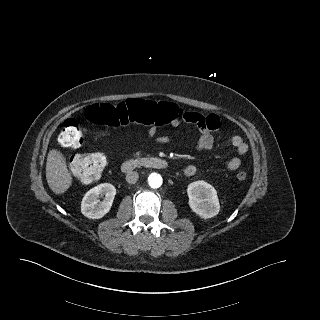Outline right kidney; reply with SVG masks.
Returning a JSON list of instances; mask_svg holds the SVG:
<instances>
[{"label": "right kidney", "instance_id": "right-kidney-1", "mask_svg": "<svg viewBox=\"0 0 320 320\" xmlns=\"http://www.w3.org/2000/svg\"><path fill=\"white\" fill-rule=\"evenodd\" d=\"M116 195L115 187L110 183H103L90 189L82 199L81 213L89 219H100L106 215L113 204ZM104 197L103 201L99 198Z\"/></svg>", "mask_w": 320, "mask_h": 320}]
</instances>
